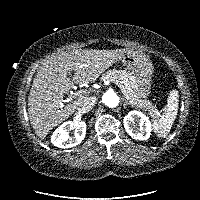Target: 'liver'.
Wrapping results in <instances>:
<instances>
[{"label":"liver","instance_id":"liver-1","mask_svg":"<svg viewBox=\"0 0 200 200\" xmlns=\"http://www.w3.org/2000/svg\"><path fill=\"white\" fill-rule=\"evenodd\" d=\"M126 49H77L47 59L37 71L28 96V115L35 134L44 139L57 125L68 119L80 106L88 92L76 94L65 105L64 95L73 87L87 85L123 55ZM73 74L72 80L69 75Z\"/></svg>","mask_w":200,"mask_h":200}]
</instances>
